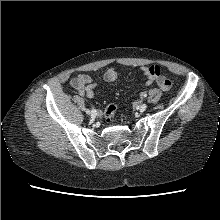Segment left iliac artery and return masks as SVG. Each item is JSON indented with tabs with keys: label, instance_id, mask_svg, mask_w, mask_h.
<instances>
[{
	"label": "left iliac artery",
	"instance_id": "left-iliac-artery-1",
	"mask_svg": "<svg viewBox=\"0 0 220 220\" xmlns=\"http://www.w3.org/2000/svg\"><path fill=\"white\" fill-rule=\"evenodd\" d=\"M147 96V93L146 92H142L141 93V97H146Z\"/></svg>",
	"mask_w": 220,
	"mask_h": 220
}]
</instances>
